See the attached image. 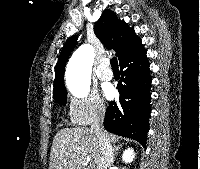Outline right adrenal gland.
<instances>
[{
	"mask_svg": "<svg viewBox=\"0 0 200 169\" xmlns=\"http://www.w3.org/2000/svg\"><path fill=\"white\" fill-rule=\"evenodd\" d=\"M123 144H119L118 146H114V151H115V158L118 156V152L121 149Z\"/></svg>",
	"mask_w": 200,
	"mask_h": 169,
	"instance_id": "obj_1",
	"label": "right adrenal gland"
}]
</instances>
